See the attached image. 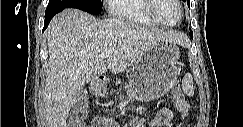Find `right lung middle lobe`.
<instances>
[{
  "label": "right lung middle lobe",
  "instance_id": "1",
  "mask_svg": "<svg viewBox=\"0 0 243 127\" xmlns=\"http://www.w3.org/2000/svg\"><path fill=\"white\" fill-rule=\"evenodd\" d=\"M65 8H77L97 15L102 10L101 0H49L45 13L60 12Z\"/></svg>",
  "mask_w": 243,
  "mask_h": 127
}]
</instances>
